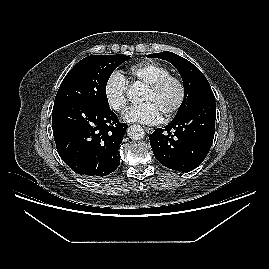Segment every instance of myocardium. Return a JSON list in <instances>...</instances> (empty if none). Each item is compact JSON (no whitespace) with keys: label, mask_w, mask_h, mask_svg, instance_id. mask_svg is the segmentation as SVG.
Returning <instances> with one entry per match:
<instances>
[{"label":"myocardium","mask_w":269,"mask_h":269,"mask_svg":"<svg viewBox=\"0 0 269 269\" xmlns=\"http://www.w3.org/2000/svg\"><path fill=\"white\" fill-rule=\"evenodd\" d=\"M171 82H174L177 84L179 88V98L177 102L175 103V105L163 116L164 120H169L172 117H174L179 112V110L183 107L186 101V97H187L186 84L180 76L169 74L147 86V88L150 91L157 93Z\"/></svg>","instance_id":"obj_1"}]
</instances>
